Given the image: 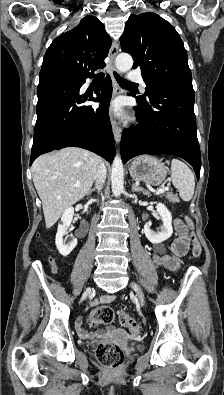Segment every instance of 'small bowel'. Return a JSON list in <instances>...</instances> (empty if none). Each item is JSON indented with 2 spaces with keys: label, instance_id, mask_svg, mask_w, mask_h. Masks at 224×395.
<instances>
[{
  "label": "small bowel",
  "instance_id": "1",
  "mask_svg": "<svg viewBox=\"0 0 224 395\" xmlns=\"http://www.w3.org/2000/svg\"><path fill=\"white\" fill-rule=\"evenodd\" d=\"M175 227L178 231V236L174 239L171 245V255H162L158 253H154L152 258L154 263L163 267L167 270H177L180 266V257L186 254L189 248V239L186 235L185 226L182 224L180 220H175ZM114 299V296L106 295L101 298V301H111ZM76 329L80 336L82 337H90V334L86 331L83 325V319L78 318L76 320ZM112 329V328H109Z\"/></svg>",
  "mask_w": 224,
  "mask_h": 395
}]
</instances>
